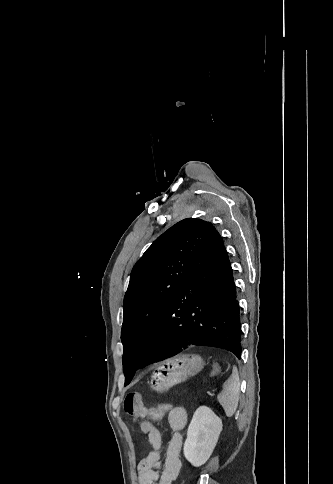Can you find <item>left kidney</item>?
<instances>
[{"instance_id": "5707ae66", "label": "left kidney", "mask_w": 333, "mask_h": 484, "mask_svg": "<svg viewBox=\"0 0 333 484\" xmlns=\"http://www.w3.org/2000/svg\"><path fill=\"white\" fill-rule=\"evenodd\" d=\"M222 420L206 406L199 407L191 420L184 443V456L194 467L210 458L222 430Z\"/></svg>"}]
</instances>
